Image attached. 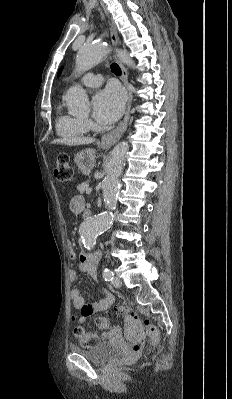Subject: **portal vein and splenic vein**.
Segmentation results:
<instances>
[{"label": "portal vein and splenic vein", "instance_id": "portal-vein-and-splenic-vein-1", "mask_svg": "<svg viewBox=\"0 0 232 399\" xmlns=\"http://www.w3.org/2000/svg\"><path fill=\"white\" fill-rule=\"evenodd\" d=\"M91 192H92V188H87L86 194H91Z\"/></svg>", "mask_w": 232, "mask_h": 399}]
</instances>
